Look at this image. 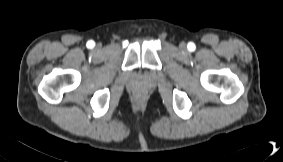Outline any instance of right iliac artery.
<instances>
[{
	"instance_id": "1",
	"label": "right iliac artery",
	"mask_w": 283,
	"mask_h": 162,
	"mask_svg": "<svg viewBox=\"0 0 283 162\" xmlns=\"http://www.w3.org/2000/svg\"><path fill=\"white\" fill-rule=\"evenodd\" d=\"M94 45H95L94 41H88V43H87V46H88L89 48L94 47Z\"/></svg>"
}]
</instances>
